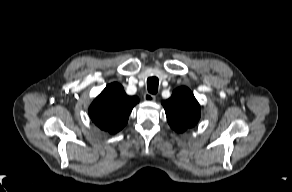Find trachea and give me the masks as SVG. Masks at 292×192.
<instances>
[{"label":"trachea","mask_w":292,"mask_h":192,"mask_svg":"<svg viewBox=\"0 0 292 192\" xmlns=\"http://www.w3.org/2000/svg\"><path fill=\"white\" fill-rule=\"evenodd\" d=\"M159 80L157 77H149L147 80V88L149 93L156 94L158 91Z\"/></svg>","instance_id":"1"}]
</instances>
